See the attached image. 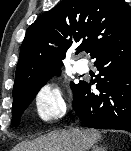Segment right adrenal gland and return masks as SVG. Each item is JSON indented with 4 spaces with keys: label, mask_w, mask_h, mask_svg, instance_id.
Returning a JSON list of instances; mask_svg holds the SVG:
<instances>
[{
    "label": "right adrenal gland",
    "mask_w": 131,
    "mask_h": 151,
    "mask_svg": "<svg viewBox=\"0 0 131 151\" xmlns=\"http://www.w3.org/2000/svg\"><path fill=\"white\" fill-rule=\"evenodd\" d=\"M92 151H106L105 148H103L102 146H93L92 147Z\"/></svg>",
    "instance_id": "obj_1"
}]
</instances>
